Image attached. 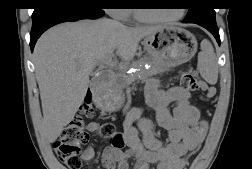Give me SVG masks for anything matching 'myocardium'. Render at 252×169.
I'll use <instances>...</instances> for the list:
<instances>
[{
  "instance_id": "obj_1",
  "label": "myocardium",
  "mask_w": 252,
  "mask_h": 169,
  "mask_svg": "<svg viewBox=\"0 0 252 169\" xmlns=\"http://www.w3.org/2000/svg\"><path fill=\"white\" fill-rule=\"evenodd\" d=\"M133 15L137 21L142 22V23H149V24L166 23V22H173V21L180 20L184 15V10H180L177 14L170 17L150 18V17H145L144 15H142L139 9H133Z\"/></svg>"
}]
</instances>
